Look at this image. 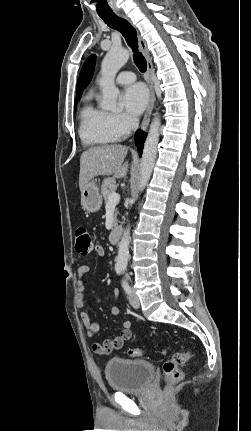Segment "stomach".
<instances>
[{"label": "stomach", "mask_w": 251, "mask_h": 431, "mask_svg": "<svg viewBox=\"0 0 251 431\" xmlns=\"http://www.w3.org/2000/svg\"><path fill=\"white\" fill-rule=\"evenodd\" d=\"M102 205V196L98 186L90 181L81 191V206L87 212H97Z\"/></svg>", "instance_id": "obj_1"}]
</instances>
